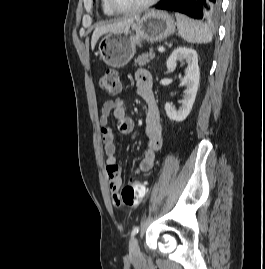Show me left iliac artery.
<instances>
[{"label": "left iliac artery", "instance_id": "obj_1", "mask_svg": "<svg viewBox=\"0 0 265 269\" xmlns=\"http://www.w3.org/2000/svg\"><path fill=\"white\" fill-rule=\"evenodd\" d=\"M138 231H139V226H135L131 232V236L132 237L135 236L138 233Z\"/></svg>", "mask_w": 265, "mask_h": 269}]
</instances>
